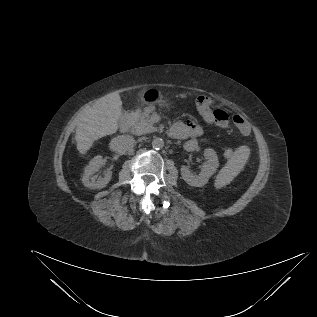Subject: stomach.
Returning <instances> with one entry per match:
<instances>
[{
    "instance_id": "stomach-1",
    "label": "stomach",
    "mask_w": 317,
    "mask_h": 317,
    "mask_svg": "<svg viewBox=\"0 0 317 317\" xmlns=\"http://www.w3.org/2000/svg\"><path fill=\"white\" fill-rule=\"evenodd\" d=\"M141 103L148 107H153L157 103L164 101V96L158 89H147L140 95Z\"/></svg>"
}]
</instances>
